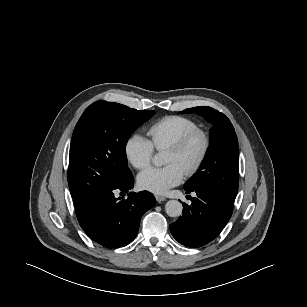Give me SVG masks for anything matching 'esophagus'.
<instances>
[{"label":"esophagus","mask_w":307,"mask_h":307,"mask_svg":"<svg viewBox=\"0 0 307 307\" xmlns=\"http://www.w3.org/2000/svg\"><path fill=\"white\" fill-rule=\"evenodd\" d=\"M155 198H156V201L158 203H161V202L166 200V198L164 196H161V195H155Z\"/></svg>","instance_id":"34e87169"}]
</instances>
